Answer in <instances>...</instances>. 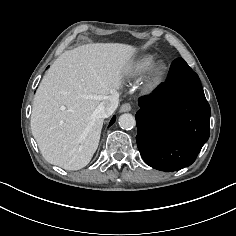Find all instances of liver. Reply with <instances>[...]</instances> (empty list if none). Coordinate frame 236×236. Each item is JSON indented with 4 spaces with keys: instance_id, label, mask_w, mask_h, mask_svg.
<instances>
[{
    "instance_id": "1",
    "label": "liver",
    "mask_w": 236,
    "mask_h": 236,
    "mask_svg": "<svg viewBox=\"0 0 236 236\" xmlns=\"http://www.w3.org/2000/svg\"><path fill=\"white\" fill-rule=\"evenodd\" d=\"M135 48L87 44L61 54L34 97L31 130L46 161L66 170L85 167L97 150L104 119L97 109L117 94Z\"/></svg>"
}]
</instances>
